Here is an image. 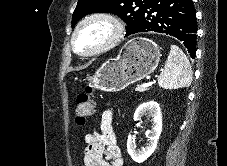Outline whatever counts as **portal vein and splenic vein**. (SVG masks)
I'll return each instance as SVG.
<instances>
[{
  "instance_id": "18ae733b",
  "label": "portal vein and splenic vein",
  "mask_w": 227,
  "mask_h": 166,
  "mask_svg": "<svg viewBox=\"0 0 227 166\" xmlns=\"http://www.w3.org/2000/svg\"><path fill=\"white\" fill-rule=\"evenodd\" d=\"M151 84H152V82L143 83L141 85V87L146 88V87L150 86Z\"/></svg>"
}]
</instances>
